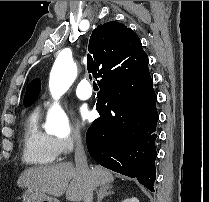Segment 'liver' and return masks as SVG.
<instances>
[{"label": "liver", "instance_id": "obj_1", "mask_svg": "<svg viewBox=\"0 0 209 202\" xmlns=\"http://www.w3.org/2000/svg\"><path fill=\"white\" fill-rule=\"evenodd\" d=\"M90 177L94 188L110 187L114 181L113 174L100 166L91 168ZM17 185L55 197L66 193L68 201H81L84 198V180L69 162L26 169L18 178Z\"/></svg>", "mask_w": 209, "mask_h": 202}]
</instances>
